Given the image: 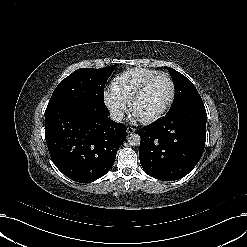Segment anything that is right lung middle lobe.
<instances>
[{
    "mask_svg": "<svg viewBox=\"0 0 247 247\" xmlns=\"http://www.w3.org/2000/svg\"><path fill=\"white\" fill-rule=\"evenodd\" d=\"M116 67L77 69L58 84L47 107L64 102H104L106 81Z\"/></svg>",
    "mask_w": 247,
    "mask_h": 247,
    "instance_id": "obj_1",
    "label": "right lung middle lobe"
}]
</instances>
